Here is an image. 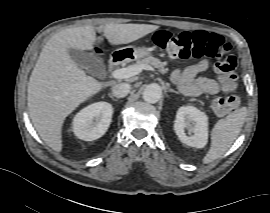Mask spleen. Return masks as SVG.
Here are the masks:
<instances>
[{"mask_svg": "<svg viewBox=\"0 0 270 213\" xmlns=\"http://www.w3.org/2000/svg\"><path fill=\"white\" fill-rule=\"evenodd\" d=\"M247 109L242 107L217 121L211 131V146L203 163L207 164L221 157L238 137L245 122Z\"/></svg>", "mask_w": 270, "mask_h": 213, "instance_id": "3e777b00", "label": "spleen"}]
</instances>
